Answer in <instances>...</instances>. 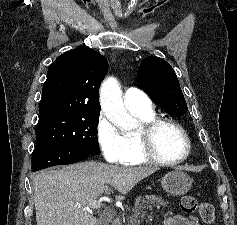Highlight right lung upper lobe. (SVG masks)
<instances>
[{
	"label": "right lung upper lobe",
	"mask_w": 237,
	"mask_h": 225,
	"mask_svg": "<svg viewBox=\"0 0 237 225\" xmlns=\"http://www.w3.org/2000/svg\"><path fill=\"white\" fill-rule=\"evenodd\" d=\"M107 71V60L87 47L59 56L48 68L39 120L59 115L100 114L99 86Z\"/></svg>",
	"instance_id": "right-lung-upper-lobe-1"
}]
</instances>
